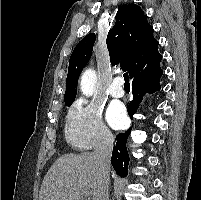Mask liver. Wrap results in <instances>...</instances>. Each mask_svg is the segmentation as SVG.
I'll return each instance as SVG.
<instances>
[{
	"label": "liver",
	"instance_id": "obj_1",
	"mask_svg": "<svg viewBox=\"0 0 201 200\" xmlns=\"http://www.w3.org/2000/svg\"><path fill=\"white\" fill-rule=\"evenodd\" d=\"M101 172L94 153L65 154L45 175L39 200H84L86 188L96 200Z\"/></svg>",
	"mask_w": 201,
	"mask_h": 200
}]
</instances>
